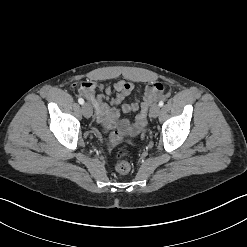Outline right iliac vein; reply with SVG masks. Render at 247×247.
Wrapping results in <instances>:
<instances>
[{
	"instance_id": "63e3f726",
	"label": "right iliac vein",
	"mask_w": 247,
	"mask_h": 247,
	"mask_svg": "<svg viewBox=\"0 0 247 247\" xmlns=\"http://www.w3.org/2000/svg\"><path fill=\"white\" fill-rule=\"evenodd\" d=\"M82 112H83V115L86 118H90L91 115H92V107H91V105L89 103L83 104V106H82Z\"/></svg>"
}]
</instances>
